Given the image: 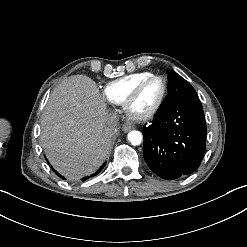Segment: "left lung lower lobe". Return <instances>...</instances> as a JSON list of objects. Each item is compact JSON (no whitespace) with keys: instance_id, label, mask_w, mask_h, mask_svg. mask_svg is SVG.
<instances>
[{"instance_id":"0a47b994","label":"left lung lower lobe","mask_w":247,"mask_h":247,"mask_svg":"<svg viewBox=\"0 0 247 247\" xmlns=\"http://www.w3.org/2000/svg\"><path fill=\"white\" fill-rule=\"evenodd\" d=\"M143 155L149 168L173 180L194 172L206 148V122L199 99L170 103L142 130Z\"/></svg>"}]
</instances>
